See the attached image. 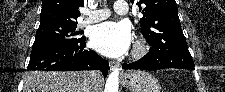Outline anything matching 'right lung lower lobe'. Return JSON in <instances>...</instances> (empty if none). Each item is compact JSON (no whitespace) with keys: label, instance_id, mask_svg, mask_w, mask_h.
Returning <instances> with one entry per match:
<instances>
[{"label":"right lung lower lobe","instance_id":"right-lung-lower-lobe-1","mask_svg":"<svg viewBox=\"0 0 225 92\" xmlns=\"http://www.w3.org/2000/svg\"><path fill=\"white\" fill-rule=\"evenodd\" d=\"M27 69L45 71L100 70L106 77L109 64L95 51L86 49L85 39L82 38L69 44L32 49Z\"/></svg>","mask_w":225,"mask_h":92}]
</instances>
